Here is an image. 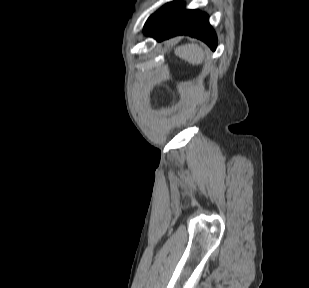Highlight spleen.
Instances as JSON below:
<instances>
[{
  "label": "spleen",
  "instance_id": "1",
  "mask_svg": "<svg viewBox=\"0 0 309 288\" xmlns=\"http://www.w3.org/2000/svg\"><path fill=\"white\" fill-rule=\"evenodd\" d=\"M175 54L192 65H200L204 61L205 52L197 44H185L175 49Z\"/></svg>",
  "mask_w": 309,
  "mask_h": 288
}]
</instances>
